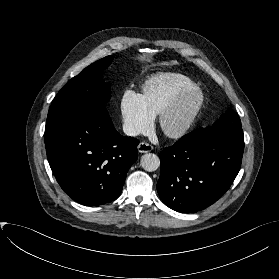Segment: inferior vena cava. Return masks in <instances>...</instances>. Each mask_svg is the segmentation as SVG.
I'll return each instance as SVG.
<instances>
[{
	"instance_id": "inferior-vena-cava-1",
	"label": "inferior vena cava",
	"mask_w": 279,
	"mask_h": 279,
	"mask_svg": "<svg viewBox=\"0 0 279 279\" xmlns=\"http://www.w3.org/2000/svg\"><path fill=\"white\" fill-rule=\"evenodd\" d=\"M123 131L128 136H137L140 133L139 128L132 123H125L123 125Z\"/></svg>"
}]
</instances>
